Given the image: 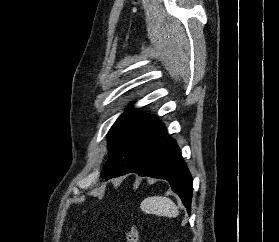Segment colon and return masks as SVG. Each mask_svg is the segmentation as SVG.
<instances>
[{"label":"colon","mask_w":279,"mask_h":242,"mask_svg":"<svg viewBox=\"0 0 279 242\" xmlns=\"http://www.w3.org/2000/svg\"><path fill=\"white\" fill-rule=\"evenodd\" d=\"M127 242H140L139 232L135 227H130L126 231Z\"/></svg>","instance_id":"colon-1"}]
</instances>
